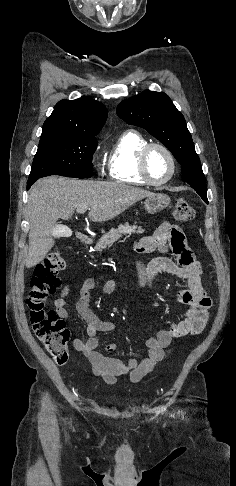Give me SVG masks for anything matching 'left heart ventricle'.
<instances>
[{
	"mask_svg": "<svg viewBox=\"0 0 236 486\" xmlns=\"http://www.w3.org/2000/svg\"><path fill=\"white\" fill-rule=\"evenodd\" d=\"M147 169L150 177L155 181L165 179L171 170L170 160L160 149L154 148L147 158Z\"/></svg>",
	"mask_w": 236,
	"mask_h": 486,
	"instance_id": "obj_1",
	"label": "left heart ventricle"
}]
</instances>
